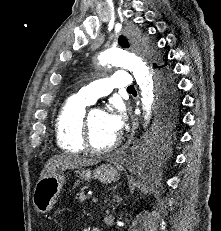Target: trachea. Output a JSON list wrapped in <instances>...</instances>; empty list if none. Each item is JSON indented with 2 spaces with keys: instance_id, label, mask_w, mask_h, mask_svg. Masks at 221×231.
<instances>
[{
  "instance_id": "obj_1",
  "label": "trachea",
  "mask_w": 221,
  "mask_h": 231,
  "mask_svg": "<svg viewBox=\"0 0 221 231\" xmlns=\"http://www.w3.org/2000/svg\"><path fill=\"white\" fill-rule=\"evenodd\" d=\"M127 90H128V91H130V90H135V88H134V86H131V87L127 88Z\"/></svg>"
}]
</instances>
